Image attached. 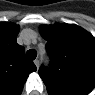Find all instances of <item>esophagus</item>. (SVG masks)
<instances>
[{
    "label": "esophagus",
    "mask_w": 95,
    "mask_h": 95,
    "mask_svg": "<svg viewBox=\"0 0 95 95\" xmlns=\"http://www.w3.org/2000/svg\"><path fill=\"white\" fill-rule=\"evenodd\" d=\"M34 64L36 65L37 69L39 68L40 62L38 59L34 60Z\"/></svg>",
    "instance_id": "34e87169"
}]
</instances>
